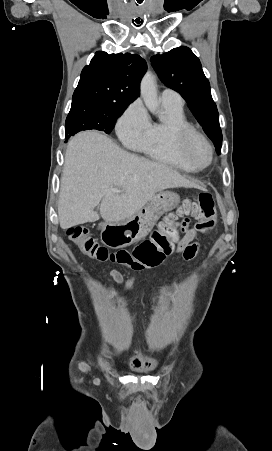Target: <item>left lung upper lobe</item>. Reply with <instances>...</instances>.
I'll use <instances>...</instances> for the list:
<instances>
[{
	"mask_svg": "<svg viewBox=\"0 0 272 451\" xmlns=\"http://www.w3.org/2000/svg\"><path fill=\"white\" fill-rule=\"evenodd\" d=\"M151 62L163 83L176 90L186 100L193 115L220 154L222 132L218 111L199 59L190 48L181 46L151 57Z\"/></svg>",
	"mask_w": 272,
	"mask_h": 451,
	"instance_id": "1",
	"label": "left lung upper lobe"
}]
</instances>
